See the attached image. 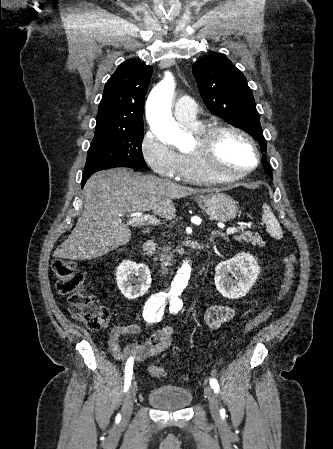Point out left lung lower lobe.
Returning a JSON list of instances; mask_svg holds the SVG:
<instances>
[{"mask_svg": "<svg viewBox=\"0 0 333 449\" xmlns=\"http://www.w3.org/2000/svg\"><path fill=\"white\" fill-rule=\"evenodd\" d=\"M262 164H263V168L265 169V171L267 172V174H268L269 176H272L271 170H270L269 165H268V163H267V160H266V158H265L264 156H263V158H262Z\"/></svg>", "mask_w": 333, "mask_h": 449, "instance_id": "0a47b994", "label": "left lung lower lobe"}]
</instances>
